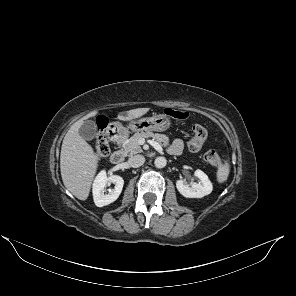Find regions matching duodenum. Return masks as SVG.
Here are the masks:
<instances>
[{
  "mask_svg": "<svg viewBox=\"0 0 296 296\" xmlns=\"http://www.w3.org/2000/svg\"><path fill=\"white\" fill-rule=\"evenodd\" d=\"M107 133L109 137L116 142H122L124 140V132L115 126H111L108 129ZM123 160H124V151L121 149L114 151L110 157V161L114 165L121 164Z\"/></svg>",
  "mask_w": 296,
  "mask_h": 296,
  "instance_id": "410a0bca",
  "label": "duodenum"
}]
</instances>
